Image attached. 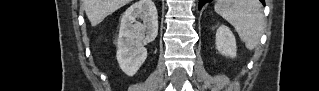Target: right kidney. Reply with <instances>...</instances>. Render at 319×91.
<instances>
[{"mask_svg": "<svg viewBox=\"0 0 319 91\" xmlns=\"http://www.w3.org/2000/svg\"><path fill=\"white\" fill-rule=\"evenodd\" d=\"M157 34L158 14L152 0H139L125 11L116 42L117 61L125 74H136L147 58L144 45L154 41Z\"/></svg>", "mask_w": 319, "mask_h": 91, "instance_id": "obj_1", "label": "right kidney"}]
</instances>
